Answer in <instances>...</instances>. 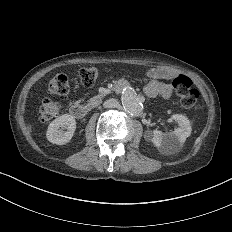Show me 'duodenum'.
<instances>
[{
  "mask_svg": "<svg viewBox=\"0 0 232 232\" xmlns=\"http://www.w3.org/2000/svg\"><path fill=\"white\" fill-rule=\"evenodd\" d=\"M124 85H125L124 81H118L116 84L117 87H122ZM87 111H88L87 107L80 104H73L69 109L71 116H73L76 119L84 118L87 114Z\"/></svg>",
  "mask_w": 232,
  "mask_h": 232,
  "instance_id": "duodenum-1",
  "label": "duodenum"
}]
</instances>
